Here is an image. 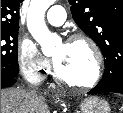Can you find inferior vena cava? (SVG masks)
I'll return each instance as SVG.
<instances>
[{"mask_svg":"<svg viewBox=\"0 0 123 113\" xmlns=\"http://www.w3.org/2000/svg\"><path fill=\"white\" fill-rule=\"evenodd\" d=\"M31 92H36L35 89L31 90Z\"/></svg>","mask_w":123,"mask_h":113,"instance_id":"obj_1","label":"inferior vena cava"}]
</instances>
